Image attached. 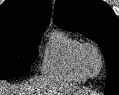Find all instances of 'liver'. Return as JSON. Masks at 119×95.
Returning <instances> with one entry per match:
<instances>
[{"label": "liver", "mask_w": 119, "mask_h": 95, "mask_svg": "<svg viewBox=\"0 0 119 95\" xmlns=\"http://www.w3.org/2000/svg\"><path fill=\"white\" fill-rule=\"evenodd\" d=\"M49 82L43 78H34L29 82L19 85H11L7 81L0 80V95H41ZM76 90L67 84H54L49 86L48 92L53 95H69Z\"/></svg>", "instance_id": "1"}]
</instances>
